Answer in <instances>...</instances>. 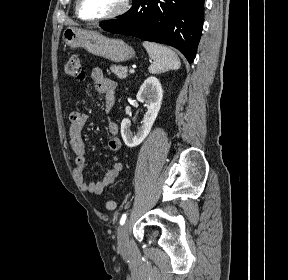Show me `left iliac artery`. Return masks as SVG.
<instances>
[{
    "label": "left iliac artery",
    "instance_id": "obj_1",
    "mask_svg": "<svg viewBox=\"0 0 288 280\" xmlns=\"http://www.w3.org/2000/svg\"><path fill=\"white\" fill-rule=\"evenodd\" d=\"M126 212L122 214L121 219H120V224H124L126 217H127V213L130 211L128 208L125 210Z\"/></svg>",
    "mask_w": 288,
    "mask_h": 280
}]
</instances>
